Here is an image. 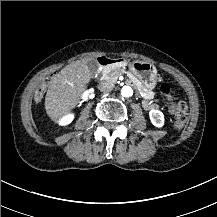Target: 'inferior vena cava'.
<instances>
[{
  "instance_id": "1",
  "label": "inferior vena cava",
  "mask_w": 217,
  "mask_h": 217,
  "mask_svg": "<svg viewBox=\"0 0 217 217\" xmlns=\"http://www.w3.org/2000/svg\"><path fill=\"white\" fill-rule=\"evenodd\" d=\"M98 89L101 92L109 93L113 89V87L110 82L103 80L98 84Z\"/></svg>"
}]
</instances>
